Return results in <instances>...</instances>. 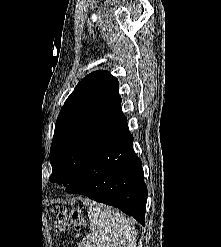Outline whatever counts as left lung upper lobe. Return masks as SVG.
I'll use <instances>...</instances> for the list:
<instances>
[{
  "label": "left lung upper lobe",
  "mask_w": 221,
  "mask_h": 247,
  "mask_svg": "<svg viewBox=\"0 0 221 247\" xmlns=\"http://www.w3.org/2000/svg\"><path fill=\"white\" fill-rule=\"evenodd\" d=\"M124 118L117 78L103 70L84 77L65 101L56 121L50 149V181L70 185L104 131Z\"/></svg>",
  "instance_id": "obj_1"
}]
</instances>
